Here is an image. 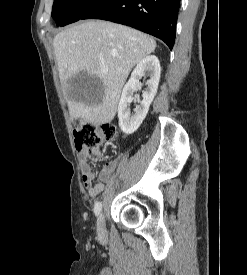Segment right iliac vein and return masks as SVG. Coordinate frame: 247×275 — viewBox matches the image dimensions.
<instances>
[{
  "instance_id": "63e3f726",
  "label": "right iliac vein",
  "mask_w": 247,
  "mask_h": 275,
  "mask_svg": "<svg viewBox=\"0 0 247 275\" xmlns=\"http://www.w3.org/2000/svg\"><path fill=\"white\" fill-rule=\"evenodd\" d=\"M97 232L100 237H105L106 229H105V220L104 215L100 214L97 220Z\"/></svg>"
}]
</instances>
